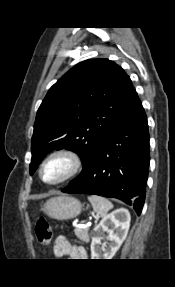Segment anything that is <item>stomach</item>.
Instances as JSON below:
<instances>
[{
  "label": "stomach",
  "mask_w": 175,
  "mask_h": 287,
  "mask_svg": "<svg viewBox=\"0 0 175 287\" xmlns=\"http://www.w3.org/2000/svg\"><path fill=\"white\" fill-rule=\"evenodd\" d=\"M82 210L81 202L70 196H57L49 199L42 211L50 218L56 220H69L75 218Z\"/></svg>",
  "instance_id": "obj_1"
}]
</instances>
